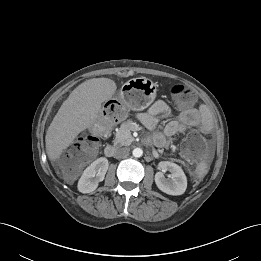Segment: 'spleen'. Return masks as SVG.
<instances>
[{"instance_id":"1","label":"spleen","mask_w":261,"mask_h":261,"mask_svg":"<svg viewBox=\"0 0 261 261\" xmlns=\"http://www.w3.org/2000/svg\"><path fill=\"white\" fill-rule=\"evenodd\" d=\"M208 172V167L204 162H201L197 167L198 178H203Z\"/></svg>"}]
</instances>
